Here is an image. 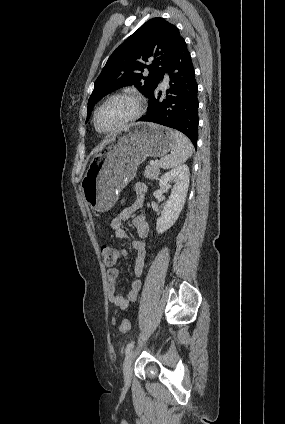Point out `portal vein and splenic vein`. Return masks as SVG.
Listing matches in <instances>:
<instances>
[{
  "mask_svg": "<svg viewBox=\"0 0 285 424\" xmlns=\"http://www.w3.org/2000/svg\"><path fill=\"white\" fill-rule=\"evenodd\" d=\"M154 163H155L154 161H151V162H150V164H154Z\"/></svg>",
  "mask_w": 285,
  "mask_h": 424,
  "instance_id": "obj_1",
  "label": "portal vein and splenic vein"
}]
</instances>
